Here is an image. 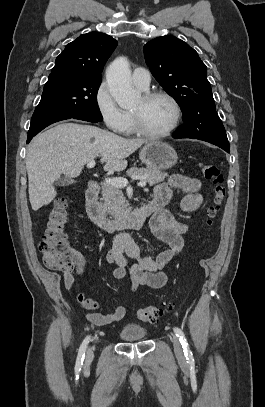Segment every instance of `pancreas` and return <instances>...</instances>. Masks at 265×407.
<instances>
[{"label":"pancreas","mask_w":265,"mask_h":407,"mask_svg":"<svg viewBox=\"0 0 265 407\" xmlns=\"http://www.w3.org/2000/svg\"><path fill=\"white\" fill-rule=\"evenodd\" d=\"M126 174L127 176H137L150 185L158 184L168 176L167 173L157 169L137 167L128 169ZM102 201L103 209L114 218L122 217L130 206L122 190L108 183L102 184Z\"/></svg>","instance_id":"cf45deb5"}]
</instances>
